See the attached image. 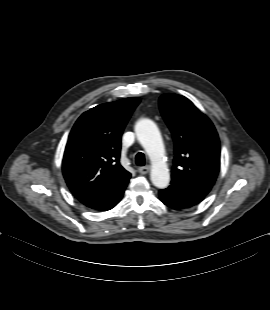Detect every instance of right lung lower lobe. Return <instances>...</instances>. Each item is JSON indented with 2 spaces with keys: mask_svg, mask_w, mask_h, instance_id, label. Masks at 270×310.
Here are the masks:
<instances>
[{
  "mask_svg": "<svg viewBox=\"0 0 270 310\" xmlns=\"http://www.w3.org/2000/svg\"><path fill=\"white\" fill-rule=\"evenodd\" d=\"M128 181L129 179L124 180L107 194L93 201L86 202L84 203V205H86L87 207L91 209L99 210V211H107V210L112 209L121 200Z\"/></svg>",
  "mask_w": 270,
  "mask_h": 310,
  "instance_id": "98d812e1",
  "label": "right lung lower lobe"
}]
</instances>
